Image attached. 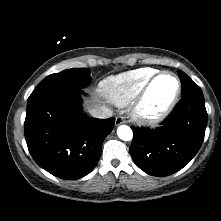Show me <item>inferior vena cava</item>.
<instances>
[{"instance_id":"1","label":"inferior vena cava","mask_w":221,"mask_h":221,"mask_svg":"<svg viewBox=\"0 0 221 221\" xmlns=\"http://www.w3.org/2000/svg\"><path fill=\"white\" fill-rule=\"evenodd\" d=\"M89 113L92 117L99 119H107L112 117L113 111L106 106H96L94 108L89 109Z\"/></svg>"}]
</instances>
